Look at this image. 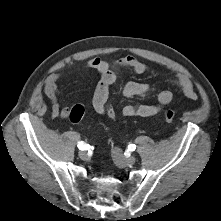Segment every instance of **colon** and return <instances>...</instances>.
<instances>
[{
  "label": "colon",
  "instance_id": "1",
  "mask_svg": "<svg viewBox=\"0 0 221 221\" xmlns=\"http://www.w3.org/2000/svg\"><path fill=\"white\" fill-rule=\"evenodd\" d=\"M116 110V105L113 102H108L105 105V116L112 124H117L120 121V116ZM85 114V107L83 105H75L71 108L68 118L70 121L77 123L82 120ZM163 119L171 123L175 119V112L171 109H166L163 111Z\"/></svg>",
  "mask_w": 221,
  "mask_h": 221
}]
</instances>
